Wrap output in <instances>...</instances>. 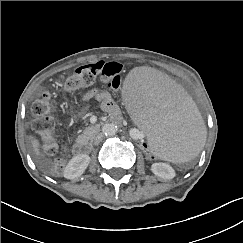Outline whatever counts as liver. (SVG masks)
<instances>
[{"label":"liver","instance_id":"liver-1","mask_svg":"<svg viewBox=\"0 0 243 243\" xmlns=\"http://www.w3.org/2000/svg\"><path fill=\"white\" fill-rule=\"evenodd\" d=\"M30 139H31L34 153L36 154V156H40L41 153H40V149H39V147H40L39 141L36 138H34L33 136H30Z\"/></svg>","mask_w":243,"mask_h":243}]
</instances>
